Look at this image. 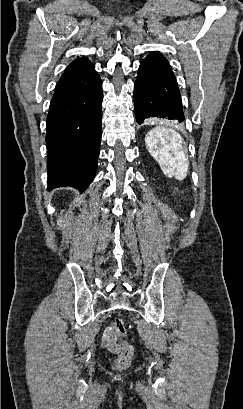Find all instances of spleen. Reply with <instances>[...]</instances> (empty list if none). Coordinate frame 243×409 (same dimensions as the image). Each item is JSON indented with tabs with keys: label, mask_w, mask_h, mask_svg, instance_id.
I'll use <instances>...</instances> for the list:
<instances>
[{
	"label": "spleen",
	"mask_w": 243,
	"mask_h": 409,
	"mask_svg": "<svg viewBox=\"0 0 243 409\" xmlns=\"http://www.w3.org/2000/svg\"><path fill=\"white\" fill-rule=\"evenodd\" d=\"M145 144L166 176L180 181L186 177L189 162L184 140L179 133L164 126H156L147 133Z\"/></svg>",
	"instance_id": "3e777b00"
}]
</instances>
